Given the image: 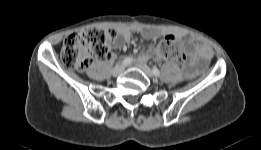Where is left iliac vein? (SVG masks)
Segmentation results:
<instances>
[{"label":"left iliac vein","mask_w":261,"mask_h":150,"mask_svg":"<svg viewBox=\"0 0 261 150\" xmlns=\"http://www.w3.org/2000/svg\"><path fill=\"white\" fill-rule=\"evenodd\" d=\"M137 65L145 75H147L150 78L153 77V73L149 67H146L142 62H139Z\"/></svg>","instance_id":"1"}]
</instances>
